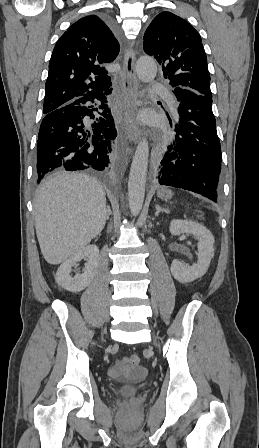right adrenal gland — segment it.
<instances>
[{"label": "right adrenal gland", "mask_w": 259, "mask_h": 448, "mask_svg": "<svg viewBox=\"0 0 259 448\" xmlns=\"http://www.w3.org/2000/svg\"><path fill=\"white\" fill-rule=\"evenodd\" d=\"M108 210H109V208H108ZM109 216H110V212H108L107 220H109Z\"/></svg>", "instance_id": "2a0ac1e0"}]
</instances>
